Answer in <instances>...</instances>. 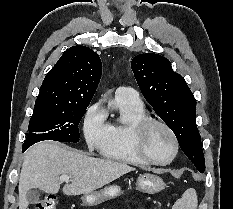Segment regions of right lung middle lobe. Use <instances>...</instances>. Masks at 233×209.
<instances>
[{
	"instance_id": "dd1d6c3e",
	"label": "right lung middle lobe",
	"mask_w": 233,
	"mask_h": 209,
	"mask_svg": "<svg viewBox=\"0 0 233 209\" xmlns=\"http://www.w3.org/2000/svg\"><path fill=\"white\" fill-rule=\"evenodd\" d=\"M88 105H77L71 109L60 111L34 109L29 123V133L23 144V151L42 140L78 142V125Z\"/></svg>"
}]
</instances>
